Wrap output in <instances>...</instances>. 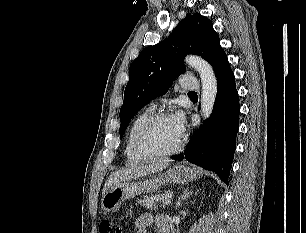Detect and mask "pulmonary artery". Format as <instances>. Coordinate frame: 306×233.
<instances>
[{
	"mask_svg": "<svg viewBox=\"0 0 306 233\" xmlns=\"http://www.w3.org/2000/svg\"><path fill=\"white\" fill-rule=\"evenodd\" d=\"M180 86L183 91H196L199 89L197 79L188 76L181 77Z\"/></svg>",
	"mask_w": 306,
	"mask_h": 233,
	"instance_id": "e3ab8cb5",
	"label": "pulmonary artery"
}]
</instances>
